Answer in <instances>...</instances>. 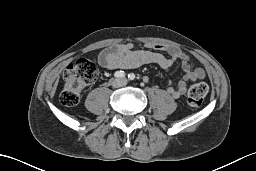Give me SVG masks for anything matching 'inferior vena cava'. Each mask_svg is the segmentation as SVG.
<instances>
[{"label": "inferior vena cava", "mask_w": 256, "mask_h": 171, "mask_svg": "<svg viewBox=\"0 0 256 171\" xmlns=\"http://www.w3.org/2000/svg\"><path fill=\"white\" fill-rule=\"evenodd\" d=\"M124 85H126V80L122 79V80H118L115 86L120 87V86H124Z\"/></svg>", "instance_id": "obj_1"}]
</instances>
